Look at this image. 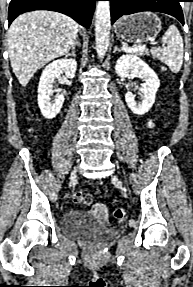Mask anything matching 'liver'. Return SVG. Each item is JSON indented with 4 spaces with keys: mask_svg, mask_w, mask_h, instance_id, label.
<instances>
[{
    "mask_svg": "<svg viewBox=\"0 0 193 287\" xmlns=\"http://www.w3.org/2000/svg\"><path fill=\"white\" fill-rule=\"evenodd\" d=\"M78 29L73 19L53 11H33L17 17L8 30V52L20 84L25 87L38 69L68 53Z\"/></svg>",
    "mask_w": 193,
    "mask_h": 287,
    "instance_id": "liver-1",
    "label": "liver"
}]
</instances>
